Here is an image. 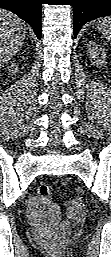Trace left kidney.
Instances as JSON below:
<instances>
[{"label": "left kidney", "mask_w": 111, "mask_h": 257, "mask_svg": "<svg viewBox=\"0 0 111 257\" xmlns=\"http://www.w3.org/2000/svg\"><path fill=\"white\" fill-rule=\"evenodd\" d=\"M88 53L90 55V60L93 64H102L105 61L106 55L103 52V49L99 48L95 43L89 42L87 44ZM101 57V58H100Z\"/></svg>", "instance_id": "left-kidney-1"}]
</instances>
